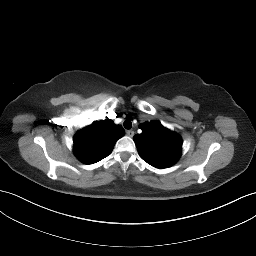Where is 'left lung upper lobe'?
I'll use <instances>...</instances> for the list:
<instances>
[{
	"label": "left lung upper lobe",
	"instance_id": "1",
	"mask_svg": "<svg viewBox=\"0 0 256 256\" xmlns=\"http://www.w3.org/2000/svg\"><path fill=\"white\" fill-rule=\"evenodd\" d=\"M133 139L141 158L156 168L173 165L181 155L182 140L158 121L141 124Z\"/></svg>",
	"mask_w": 256,
	"mask_h": 256
}]
</instances>
